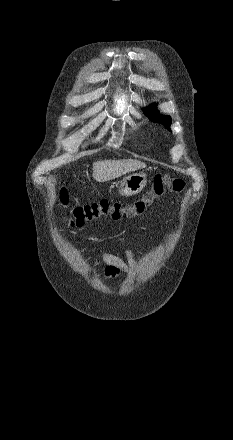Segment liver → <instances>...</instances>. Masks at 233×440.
<instances>
[{
	"instance_id": "obj_1",
	"label": "liver",
	"mask_w": 233,
	"mask_h": 440,
	"mask_svg": "<svg viewBox=\"0 0 233 440\" xmlns=\"http://www.w3.org/2000/svg\"><path fill=\"white\" fill-rule=\"evenodd\" d=\"M145 167V163L136 159L97 161L93 163L92 176L98 182H105Z\"/></svg>"
}]
</instances>
